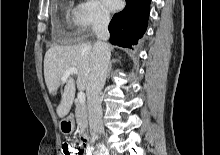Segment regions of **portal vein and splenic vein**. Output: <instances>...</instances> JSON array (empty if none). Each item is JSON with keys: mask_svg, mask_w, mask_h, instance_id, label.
I'll return each mask as SVG.
<instances>
[{"mask_svg": "<svg viewBox=\"0 0 220 155\" xmlns=\"http://www.w3.org/2000/svg\"><path fill=\"white\" fill-rule=\"evenodd\" d=\"M78 74V70L77 68H74V67H71V68H68L63 77H62V81H66L70 75H77ZM77 98L79 100L80 103H84L85 102V94L84 92L80 91L78 94H77Z\"/></svg>", "mask_w": 220, "mask_h": 155, "instance_id": "18ae733b", "label": "portal vein and splenic vein"}]
</instances>
